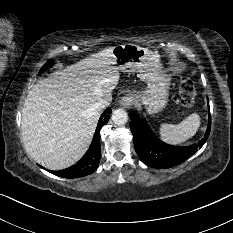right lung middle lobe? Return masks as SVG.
I'll return each instance as SVG.
<instances>
[{"instance_id":"obj_1","label":"right lung middle lobe","mask_w":233,"mask_h":233,"mask_svg":"<svg viewBox=\"0 0 233 233\" xmlns=\"http://www.w3.org/2000/svg\"><path fill=\"white\" fill-rule=\"evenodd\" d=\"M52 65H53V61H52V60L48 61V62L41 68L40 73L43 72L44 70L50 68Z\"/></svg>"}]
</instances>
